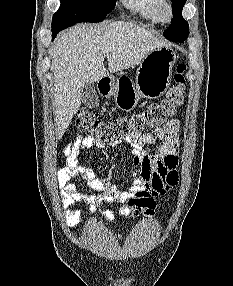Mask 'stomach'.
I'll list each match as a JSON object with an SVG mask.
<instances>
[{
  "label": "stomach",
  "mask_w": 233,
  "mask_h": 286,
  "mask_svg": "<svg viewBox=\"0 0 233 286\" xmlns=\"http://www.w3.org/2000/svg\"><path fill=\"white\" fill-rule=\"evenodd\" d=\"M177 55L171 47L150 52L137 69L136 83L127 88L113 85L109 95L121 109L130 110L141 98H158L168 89Z\"/></svg>",
  "instance_id": "1"
}]
</instances>
